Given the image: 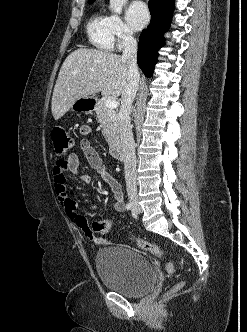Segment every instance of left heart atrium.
<instances>
[{
  "label": "left heart atrium",
  "instance_id": "1",
  "mask_svg": "<svg viewBox=\"0 0 247 332\" xmlns=\"http://www.w3.org/2000/svg\"><path fill=\"white\" fill-rule=\"evenodd\" d=\"M126 18L133 29H142L149 21V11L146 4L141 1L132 2L127 9Z\"/></svg>",
  "mask_w": 247,
  "mask_h": 332
}]
</instances>
